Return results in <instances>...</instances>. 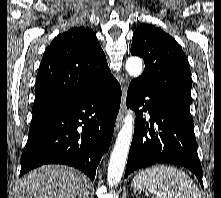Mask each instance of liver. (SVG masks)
I'll list each match as a JSON object with an SVG mask.
<instances>
[{"label": "liver", "mask_w": 221, "mask_h": 198, "mask_svg": "<svg viewBox=\"0 0 221 198\" xmlns=\"http://www.w3.org/2000/svg\"><path fill=\"white\" fill-rule=\"evenodd\" d=\"M89 180L64 165H45L25 175L13 198H89Z\"/></svg>", "instance_id": "6515ba94"}]
</instances>
